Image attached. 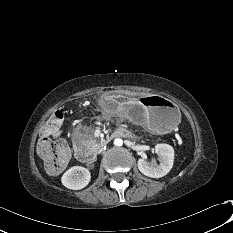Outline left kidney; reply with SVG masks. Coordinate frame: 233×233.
I'll return each instance as SVG.
<instances>
[{"mask_svg":"<svg viewBox=\"0 0 233 233\" xmlns=\"http://www.w3.org/2000/svg\"><path fill=\"white\" fill-rule=\"evenodd\" d=\"M155 152L160 164L155 161L147 162L145 158L138 160V169L142 174L151 178H160L169 173L173 167L174 149L168 144H157Z\"/></svg>","mask_w":233,"mask_h":233,"instance_id":"1","label":"left kidney"}]
</instances>
